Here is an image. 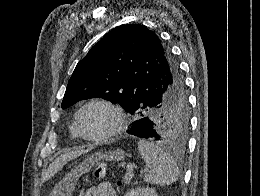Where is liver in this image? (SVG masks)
Here are the masks:
<instances>
[{
  "instance_id": "liver-1",
  "label": "liver",
  "mask_w": 260,
  "mask_h": 196,
  "mask_svg": "<svg viewBox=\"0 0 260 196\" xmlns=\"http://www.w3.org/2000/svg\"><path fill=\"white\" fill-rule=\"evenodd\" d=\"M91 150H93V146H81V148H78L75 152H66L63 156H59V158L53 160L52 164H50L47 172H45L43 176L44 182H47V180H50L52 176H55L58 170L63 168L67 162H70V160H75V158H79V156H82V154H87V152H91Z\"/></svg>"
}]
</instances>
